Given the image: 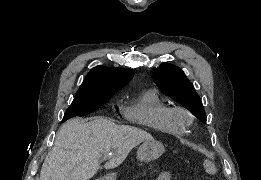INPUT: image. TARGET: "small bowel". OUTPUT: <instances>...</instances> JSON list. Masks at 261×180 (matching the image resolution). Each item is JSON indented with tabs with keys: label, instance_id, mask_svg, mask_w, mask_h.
<instances>
[{
	"label": "small bowel",
	"instance_id": "small-bowel-1",
	"mask_svg": "<svg viewBox=\"0 0 261 180\" xmlns=\"http://www.w3.org/2000/svg\"><path fill=\"white\" fill-rule=\"evenodd\" d=\"M159 180H169L170 179V175L168 172H161L158 176Z\"/></svg>",
	"mask_w": 261,
	"mask_h": 180
}]
</instances>
